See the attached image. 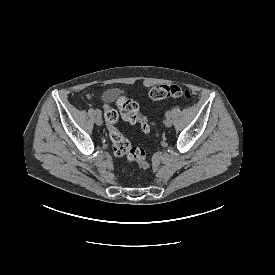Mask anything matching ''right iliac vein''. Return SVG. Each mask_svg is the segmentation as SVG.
<instances>
[{"label": "right iliac vein", "instance_id": "obj_1", "mask_svg": "<svg viewBox=\"0 0 275 275\" xmlns=\"http://www.w3.org/2000/svg\"><path fill=\"white\" fill-rule=\"evenodd\" d=\"M95 122H96V124L99 125V126L103 124V119H102V117H101L100 114H97V115H96Z\"/></svg>", "mask_w": 275, "mask_h": 275}]
</instances>
